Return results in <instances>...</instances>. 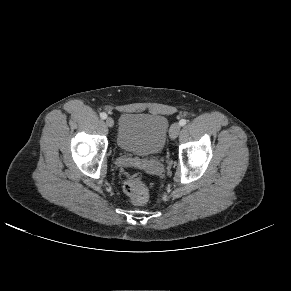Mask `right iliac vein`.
<instances>
[{"label":"right iliac vein","instance_id":"obj_1","mask_svg":"<svg viewBox=\"0 0 291 291\" xmlns=\"http://www.w3.org/2000/svg\"><path fill=\"white\" fill-rule=\"evenodd\" d=\"M106 125L108 127H113L114 126V120L111 117L106 118Z\"/></svg>","mask_w":291,"mask_h":291}]
</instances>
